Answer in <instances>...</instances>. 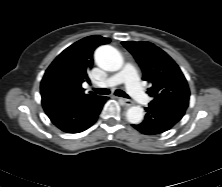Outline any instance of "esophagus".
<instances>
[{
  "label": "esophagus",
  "mask_w": 222,
  "mask_h": 187,
  "mask_svg": "<svg viewBox=\"0 0 222 187\" xmlns=\"http://www.w3.org/2000/svg\"><path fill=\"white\" fill-rule=\"evenodd\" d=\"M119 101L127 107H130L133 104L131 100L124 99V98H119Z\"/></svg>",
  "instance_id": "1"
}]
</instances>
